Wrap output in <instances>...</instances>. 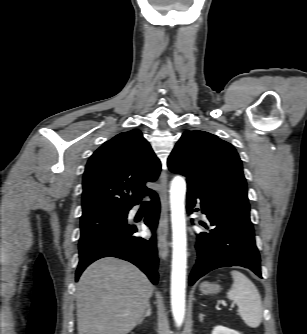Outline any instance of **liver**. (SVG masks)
I'll return each mask as SVG.
<instances>
[{
    "mask_svg": "<svg viewBox=\"0 0 307 334\" xmlns=\"http://www.w3.org/2000/svg\"><path fill=\"white\" fill-rule=\"evenodd\" d=\"M152 294L151 282L133 264L114 257L95 261L77 283L78 334H128Z\"/></svg>",
    "mask_w": 307,
    "mask_h": 334,
    "instance_id": "liver-1",
    "label": "liver"
}]
</instances>
